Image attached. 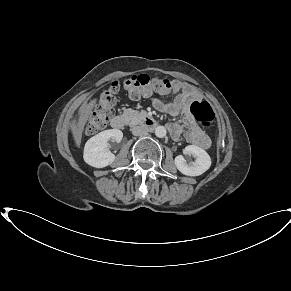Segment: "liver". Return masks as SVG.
Here are the masks:
<instances>
[{"label": "liver", "mask_w": 291, "mask_h": 291, "mask_svg": "<svg viewBox=\"0 0 291 291\" xmlns=\"http://www.w3.org/2000/svg\"><path fill=\"white\" fill-rule=\"evenodd\" d=\"M86 108V103L82 105L81 109H85Z\"/></svg>", "instance_id": "liver-1"}]
</instances>
